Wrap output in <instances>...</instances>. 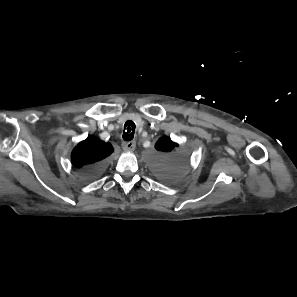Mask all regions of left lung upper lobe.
I'll return each instance as SVG.
<instances>
[{
    "label": "left lung upper lobe",
    "mask_w": 297,
    "mask_h": 297,
    "mask_svg": "<svg viewBox=\"0 0 297 297\" xmlns=\"http://www.w3.org/2000/svg\"><path fill=\"white\" fill-rule=\"evenodd\" d=\"M178 144L166 136L160 138L155 148L158 153L150 157L155 173L164 179H174L183 163L182 156L174 152Z\"/></svg>",
    "instance_id": "left-lung-upper-lobe-1"
}]
</instances>
